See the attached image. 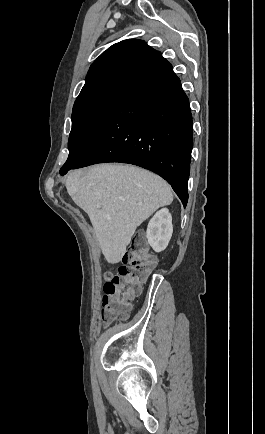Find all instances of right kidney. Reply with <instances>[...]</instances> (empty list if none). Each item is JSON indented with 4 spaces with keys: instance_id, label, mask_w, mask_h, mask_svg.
I'll return each mask as SVG.
<instances>
[{
    "instance_id": "right-kidney-1",
    "label": "right kidney",
    "mask_w": 265,
    "mask_h": 434,
    "mask_svg": "<svg viewBox=\"0 0 265 434\" xmlns=\"http://www.w3.org/2000/svg\"><path fill=\"white\" fill-rule=\"evenodd\" d=\"M173 234L172 216L167 208H162L151 218L146 232L148 244L154 252L166 250Z\"/></svg>"
}]
</instances>
